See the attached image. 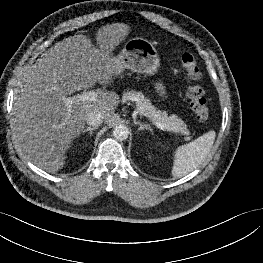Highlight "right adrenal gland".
Listing matches in <instances>:
<instances>
[{"instance_id":"right-adrenal-gland-1","label":"right adrenal gland","mask_w":263,"mask_h":263,"mask_svg":"<svg viewBox=\"0 0 263 263\" xmlns=\"http://www.w3.org/2000/svg\"><path fill=\"white\" fill-rule=\"evenodd\" d=\"M96 129H97V127H88L86 129L82 130V133L89 132L90 136H92L93 131Z\"/></svg>"}]
</instances>
